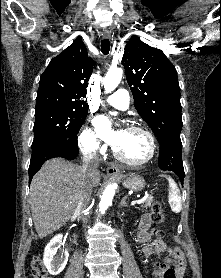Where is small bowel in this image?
<instances>
[{
  "mask_svg": "<svg viewBox=\"0 0 221 278\" xmlns=\"http://www.w3.org/2000/svg\"><path fill=\"white\" fill-rule=\"evenodd\" d=\"M153 233L154 229L151 226L150 215L144 214L140 219L137 232V241L144 244L142 247V254L145 257H149L154 253H169V256L164 258L163 264L154 263L152 265V277L164 278V267L168 264H172L176 272V278H182L185 270V258L182 251L178 248H171L167 246L166 243L159 238H155L152 242L148 243Z\"/></svg>",
  "mask_w": 221,
  "mask_h": 278,
  "instance_id": "small-bowel-1",
  "label": "small bowel"
}]
</instances>
